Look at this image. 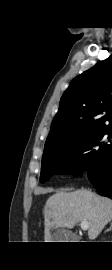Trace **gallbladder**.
<instances>
[{"instance_id": "bac80fb5", "label": "gallbladder", "mask_w": 112, "mask_h": 270, "mask_svg": "<svg viewBox=\"0 0 112 270\" xmlns=\"http://www.w3.org/2000/svg\"><path fill=\"white\" fill-rule=\"evenodd\" d=\"M78 237L74 234H72L70 231L65 229H57L52 234V241L53 242H71L74 240H77Z\"/></svg>"}]
</instances>
